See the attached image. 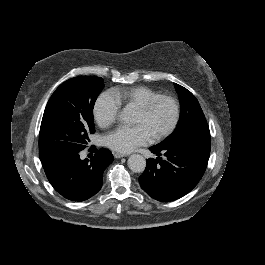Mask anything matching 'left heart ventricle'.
Listing matches in <instances>:
<instances>
[{"label":"left heart ventricle","instance_id":"b2bd125f","mask_svg":"<svg viewBox=\"0 0 265 265\" xmlns=\"http://www.w3.org/2000/svg\"><path fill=\"white\" fill-rule=\"evenodd\" d=\"M173 118V107L167 101H159L148 114L136 112L134 124L145 126L152 137L165 129Z\"/></svg>","mask_w":265,"mask_h":265}]
</instances>
